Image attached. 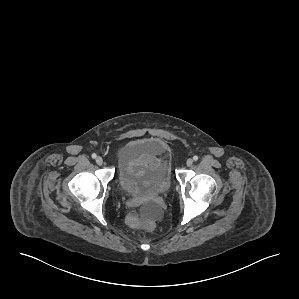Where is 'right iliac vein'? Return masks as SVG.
I'll return each instance as SVG.
<instances>
[{"mask_svg": "<svg viewBox=\"0 0 299 299\" xmlns=\"http://www.w3.org/2000/svg\"><path fill=\"white\" fill-rule=\"evenodd\" d=\"M96 163H97L98 165H102V164H103V158L100 157V156H98V157L96 158Z\"/></svg>", "mask_w": 299, "mask_h": 299, "instance_id": "1", "label": "right iliac vein"}]
</instances>
